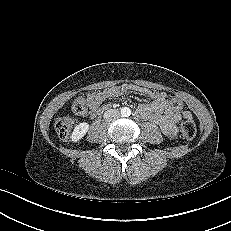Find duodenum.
Masks as SVG:
<instances>
[{"mask_svg":"<svg viewBox=\"0 0 231 231\" xmlns=\"http://www.w3.org/2000/svg\"><path fill=\"white\" fill-rule=\"evenodd\" d=\"M107 109H109V108H108V107H105V108H104V110H107Z\"/></svg>","mask_w":231,"mask_h":231,"instance_id":"duodenum-1","label":"duodenum"}]
</instances>
